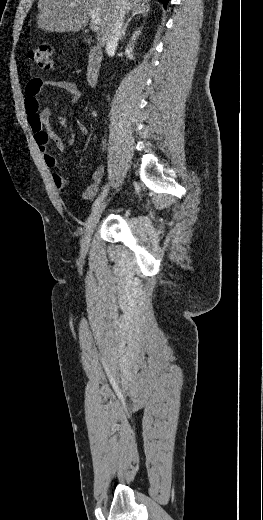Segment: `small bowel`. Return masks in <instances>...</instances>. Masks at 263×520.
I'll return each mask as SVG.
<instances>
[{
	"label": "small bowel",
	"mask_w": 263,
	"mask_h": 520,
	"mask_svg": "<svg viewBox=\"0 0 263 520\" xmlns=\"http://www.w3.org/2000/svg\"><path fill=\"white\" fill-rule=\"evenodd\" d=\"M45 87L57 88L66 91L73 102H77L82 97V92L78 86L68 80H47L42 78L30 79L25 87V109L28 116L29 125L32 129L34 140L41 152L46 165L53 171L52 181L57 189L64 190L68 187L69 181L56 171L58 163L49 153L48 144L52 141L56 148L64 152L66 144L63 139L55 133L50 126L51 111L49 108H40L39 94ZM79 129L83 136L87 135L86 128L79 124ZM103 177V168L98 167L91 176L89 185L84 189L82 198L84 200L93 199L98 193L99 186Z\"/></svg>",
	"instance_id": "obj_1"
}]
</instances>
